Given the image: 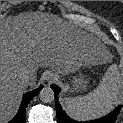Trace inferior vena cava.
<instances>
[{"label": "inferior vena cava", "mask_w": 123, "mask_h": 123, "mask_svg": "<svg viewBox=\"0 0 123 123\" xmlns=\"http://www.w3.org/2000/svg\"><path fill=\"white\" fill-rule=\"evenodd\" d=\"M21 78L25 81H29L30 80V75L28 72H24L21 74Z\"/></svg>", "instance_id": "1"}]
</instances>
